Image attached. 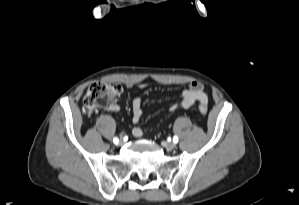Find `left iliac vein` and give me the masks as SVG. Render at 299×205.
I'll return each mask as SVG.
<instances>
[{
    "label": "left iliac vein",
    "instance_id": "obj_1",
    "mask_svg": "<svg viewBox=\"0 0 299 205\" xmlns=\"http://www.w3.org/2000/svg\"><path fill=\"white\" fill-rule=\"evenodd\" d=\"M162 146H163L165 149H167V150H172V149H174V148L176 147V143H174V142H165V141H163V142H162Z\"/></svg>",
    "mask_w": 299,
    "mask_h": 205
}]
</instances>
